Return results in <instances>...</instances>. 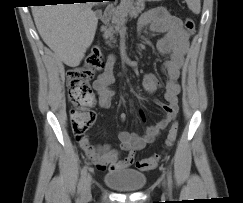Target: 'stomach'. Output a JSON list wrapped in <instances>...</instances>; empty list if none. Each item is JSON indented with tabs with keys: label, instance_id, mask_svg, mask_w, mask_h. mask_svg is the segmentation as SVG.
Wrapping results in <instances>:
<instances>
[{
	"label": "stomach",
	"instance_id": "0dacf381",
	"mask_svg": "<svg viewBox=\"0 0 243 203\" xmlns=\"http://www.w3.org/2000/svg\"><path fill=\"white\" fill-rule=\"evenodd\" d=\"M145 1H148V2H159V1H161V0H145Z\"/></svg>",
	"mask_w": 243,
	"mask_h": 203
}]
</instances>
